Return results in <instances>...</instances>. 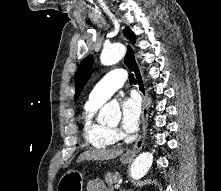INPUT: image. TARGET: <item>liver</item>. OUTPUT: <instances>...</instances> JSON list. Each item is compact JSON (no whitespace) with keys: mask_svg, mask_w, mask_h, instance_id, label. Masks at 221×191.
<instances>
[{"mask_svg":"<svg viewBox=\"0 0 221 191\" xmlns=\"http://www.w3.org/2000/svg\"><path fill=\"white\" fill-rule=\"evenodd\" d=\"M123 153L122 149H102V150H89L83 152L77 159V162H82L85 160H110L114 159L117 156H120Z\"/></svg>","mask_w":221,"mask_h":191,"instance_id":"obj_1","label":"liver"}]
</instances>
